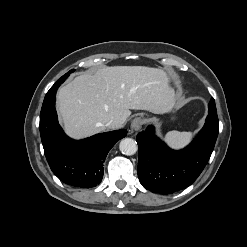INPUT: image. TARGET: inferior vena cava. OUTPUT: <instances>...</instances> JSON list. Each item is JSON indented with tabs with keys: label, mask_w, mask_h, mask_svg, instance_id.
Here are the masks:
<instances>
[{
	"label": "inferior vena cava",
	"mask_w": 247,
	"mask_h": 247,
	"mask_svg": "<svg viewBox=\"0 0 247 247\" xmlns=\"http://www.w3.org/2000/svg\"><path fill=\"white\" fill-rule=\"evenodd\" d=\"M118 125H119V122L116 121V120H110V121L107 122V124H106V126H107L108 128H111V129L117 128Z\"/></svg>",
	"instance_id": "obj_1"
}]
</instances>
